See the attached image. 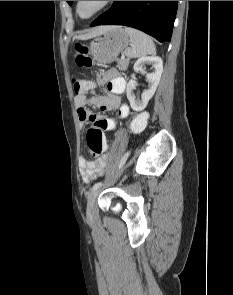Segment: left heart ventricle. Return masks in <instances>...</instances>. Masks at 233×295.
I'll list each match as a JSON object with an SVG mask.
<instances>
[{"mask_svg": "<svg viewBox=\"0 0 233 295\" xmlns=\"http://www.w3.org/2000/svg\"><path fill=\"white\" fill-rule=\"evenodd\" d=\"M101 1H83L80 6V14L87 16L92 13L100 4Z\"/></svg>", "mask_w": 233, "mask_h": 295, "instance_id": "obj_1", "label": "left heart ventricle"}]
</instances>
